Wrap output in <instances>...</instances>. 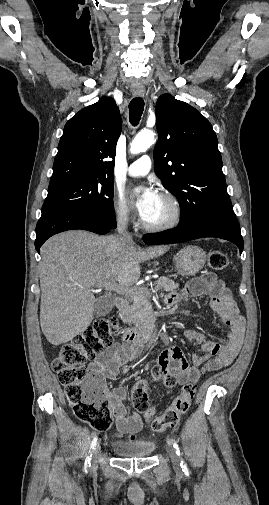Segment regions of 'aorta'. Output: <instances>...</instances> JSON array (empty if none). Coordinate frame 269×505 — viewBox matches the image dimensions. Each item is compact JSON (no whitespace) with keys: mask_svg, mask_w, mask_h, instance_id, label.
Masks as SVG:
<instances>
[{"mask_svg":"<svg viewBox=\"0 0 269 505\" xmlns=\"http://www.w3.org/2000/svg\"><path fill=\"white\" fill-rule=\"evenodd\" d=\"M155 142V133L150 130L139 132L130 144V152L139 154L146 151Z\"/></svg>","mask_w":269,"mask_h":505,"instance_id":"obj_1","label":"aorta"}]
</instances>
